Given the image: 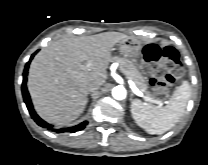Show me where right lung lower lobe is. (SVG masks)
<instances>
[{
	"instance_id": "obj_1",
	"label": "right lung lower lobe",
	"mask_w": 208,
	"mask_h": 165,
	"mask_svg": "<svg viewBox=\"0 0 208 165\" xmlns=\"http://www.w3.org/2000/svg\"><path fill=\"white\" fill-rule=\"evenodd\" d=\"M37 52H35L30 60L26 63L25 65V69H24V72H23V83H22V94H23V98H24V102L27 106V109L31 115V117L34 119V121L39 125V126H42V127H47L49 130H53V131H56V132H65V131H70L72 133H74L75 131L77 130H82L86 125H87V121H84L82 122L81 124L79 125H76L74 127H71V128H67V129H53L52 125L46 123L45 121H43L34 111V108H33V105H32V102L30 100V96H29V93H28V90H27V87H26V81H27V74H28V68H29V64L32 60V58L34 57V55L36 54Z\"/></svg>"
}]
</instances>
